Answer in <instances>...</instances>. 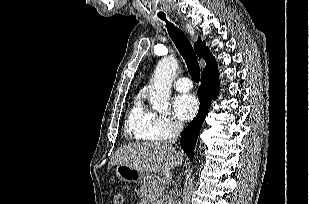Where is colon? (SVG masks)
I'll list each match as a JSON object with an SVG mask.
<instances>
[{
	"mask_svg": "<svg viewBox=\"0 0 309 204\" xmlns=\"http://www.w3.org/2000/svg\"><path fill=\"white\" fill-rule=\"evenodd\" d=\"M124 203V194L122 192L114 193V204H123Z\"/></svg>",
	"mask_w": 309,
	"mask_h": 204,
	"instance_id": "1",
	"label": "colon"
}]
</instances>
